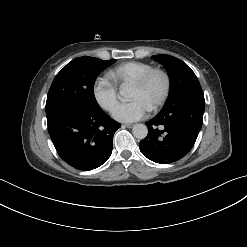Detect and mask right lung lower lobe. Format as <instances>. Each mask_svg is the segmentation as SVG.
<instances>
[{
  "mask_svg": "<svg viewBox=\"0 0 247 247\" xmlns=\"http://www.w3.org/2000/svg\"><path fill=\"white\" fill-rule=\"evenodd\" d=\"M48 132L62 160L89 171L105 163L112 153L113 136L121 125L102 109L61 106L46 113Z\"/></svg>",
  "mask_w": 247,
  "mask_h": 247,
  "instance_id": "98d812e1",
  "label": "right lung lower lobe"
}]
</instances>
